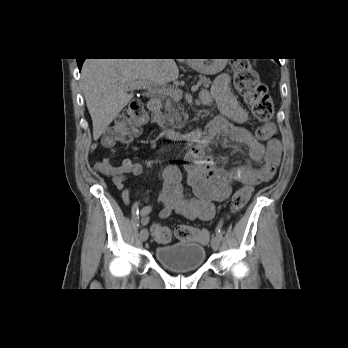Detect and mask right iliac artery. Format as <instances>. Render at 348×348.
I'll use <instances>...</instances> for the list:
<instances>
[{
	"label": "right iliac artery",
	"mask_w": 348,
	"mask_h": 348,
	"mask_svg": "<svg viewBox=\"0 0 348 348\" xmlns=\"http://www.w3.org/2000/svg\"><path fill=\"white\" fill-rule=\"evenodd\" d=\"M132 207H133V220L134 222H139L140 219V211L138 209V203L136 201L132 202ZM137 226H139V223H137Z\"/></svg>",
	"instance_id": "obj_1"
}]
</instances>
